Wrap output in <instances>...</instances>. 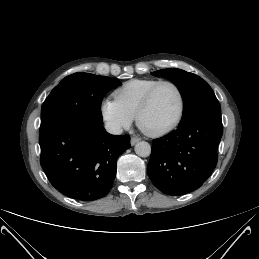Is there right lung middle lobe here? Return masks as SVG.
I'll return each mask as SVG.
<instances>
[{"label": "right lung middle lobe", "instance_id": "dd1d6c3e", "mask_svg": "<svg viewBox=\"0 0 259 259\" xmlns=\"http://www.w3.org/2000/svg\"><path fill=\"white\" fill-rule=\"evenodd\" d=\"M119 84L116 79L89 73L67 76L44 101L40 129L68 120L101 123L103 96Z\"/></svg>", "mask_w": 259, "mask_h": 259}]
</instances>
